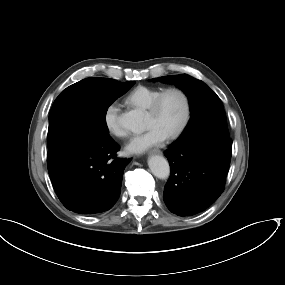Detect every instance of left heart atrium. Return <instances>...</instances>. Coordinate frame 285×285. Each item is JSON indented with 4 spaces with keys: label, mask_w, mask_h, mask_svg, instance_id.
Instances as JSON below:
<instances>
[{
    "label": "left heart atrium",
    "mask_w": 285,
    "mask_h": 285,
    "mask_svg": "<svg viewBox=\"0 0 285 285\" xmlns=\"http://www.w3.org/2000/svg\"><path fill=\"white\" fill-rule=\"evenodd\" d=\"M165 138L166 135L158 128L151 127L145 133L133 136L127 143L126 150L129 153H142L149 148L160 144Z\"/></svg>",
    "instance_id": "39dd6f15"
}]
</instances>
